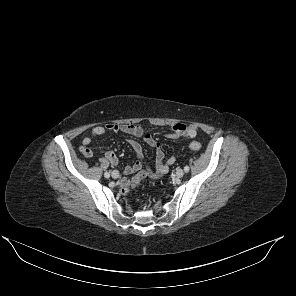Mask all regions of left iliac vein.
<instances>
[{
    "instance_id": "left-iliac-vein-1",
    "label": "left iliac vein",
    "mask_w": 296,
    "mask_h": 296,
    "mask_svg": "<svg viewBox=\"0 0 296 296\" xmlns=\"http://www.w3.org/2000/svg\"><path fill=\"white\" fill-rule=\"evenodd\" d=\"M183 175H184V170L183 169H178L176 171V177L177 178H181V177H183Z\"/></svg>"
}]
</instances>
